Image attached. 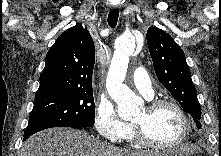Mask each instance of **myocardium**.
I'll use <instances>...</instances> for the list:
<instances>
[{"mask_svg":"<svg viewBox=\"0 0 221 156\" xmlns=\"http://www.w3.org/2000/svg\"><path fill=\"white\" fill-rule=\"evenodd\" d=\"M162 107H171L179 114V116L182 120V124H183V130H182L181 136L178 138V140H176L172 144H168V145L157 144V143L151 141L146 136L141 125L133 122V124H132L133 136H134V139L140 145L145 146V147H149V148H153V149H157V150H169V149H173V148L178 147L187 139V137L190 133L191 126H190L189 117H188L187 113L185 112V110L177 102H175L173 100H169V99L153 100L148 104L147 109L149 110V112L154 113Z\"/></svg>","mask_w":221,"mask_h":156,"instance_id":"f54148a6","label":"myocardium"}]
</instances>
